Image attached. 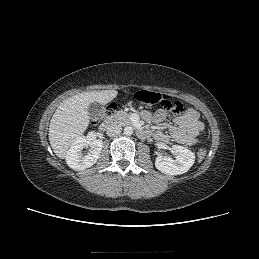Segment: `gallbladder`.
<instances>
[{
    "label": "gallbladder",
    "mask_w": 259,
    "mask_h": 259,
    "mask_svg": "<svg viewBox=\"0 0 259 259\" xmlns=\"http://www.w3.org/2000/svg\"><path fill=\"white\" fill-rule=\"evenodd\" d=\"M103 111V107L100 103L98 102H93L89 105L88 107V114L89 117L93 120H97L100 118L101 114Z\"/></svg>",
    "instance_id": "gallbladder-1"
}]
</instances>
